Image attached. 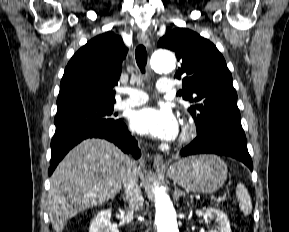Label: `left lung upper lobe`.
Returning a JSON list of instances; mask_svg holds the SVG:
<instances>
[{
    "instance_id": "5c2ea615",
    "label": "left lung upper lobe",
    "mask_w": 289,
    "mask_h": 232,
    "mask_svg": "<svg viewBox=\"0 0 289 232\" xmlns=\"http://www.w3.org/2000/svg\"><path fill=\"white\" fill-rule=\"evenodd\" d=\"M158 47L175 52L180 67L174 77L183 79L177 95L192 103L188 111L197 134L224 126H241L232 75L216 46L186 28L167 31Z\"/></svg>"
}]
</instances>
